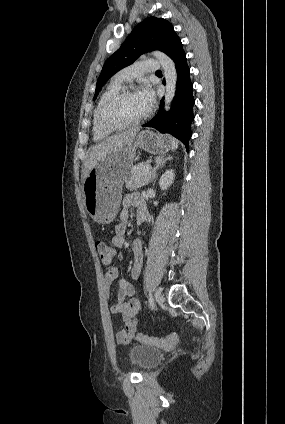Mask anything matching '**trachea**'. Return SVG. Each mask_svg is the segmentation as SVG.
I'll use <instances>...</instances> for the list:
<instances>
[{"label": "trachea", "mask_w": 285, "mask_h": 424, "mask_svg": "<svg viewBox=\"0 0 285 424\" xmlns=\"http://www.w3.org/2000/svg\"><path fill=\"white\" fill-rule=\"evenodd\" d=\"M156 73H161V71H160V70H158V71H156Z\"/></svg>", "instance_id": "3493384b"}]
</instances>
